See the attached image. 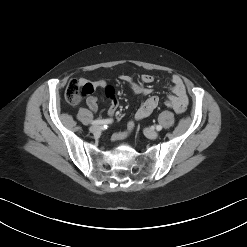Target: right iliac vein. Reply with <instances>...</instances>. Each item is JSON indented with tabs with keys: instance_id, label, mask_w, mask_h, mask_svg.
<instances>
[{
	"instance_id": "right-iliac-vein-1",
	"label": "right iliac vein",
	"mask_w": 247,
	"mask_h": 247,
	"mask_svg": "<svg viewBox=\"0 0 247 247\" xmlns=\"http://www.w3.org/2000/svg\"><path fill=\"white\" fill-rule=\"evenodd\" d=\"M91 133H98L101 131V126L100 125H93L89 128Z\"/></svg>"
}]
</instances>
